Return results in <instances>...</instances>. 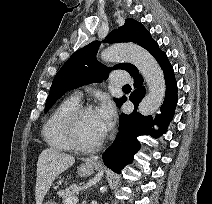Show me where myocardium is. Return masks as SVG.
I'll return each mask as SVG.
<instances>
[{
  "instance_id": "myocardium-1",
  "label": "myocardium",
  "mask_w": 212,
  "mask_h": 204,
  "mask_svg": "<svg viewBox=\"0 0 212 204\" xmlns=\"http://www.w3.org/2000/svg\"><path fill=\"white\" fill-rule=\"evenodd\" d=\"M95 108L88 105H79L78 107L71 110L64 118L62 122L63 134L73 150L79 152H92L97 150L104 142L105 135L97 142L91 145L82 144L77 136V122L85 114L95 112Z\"/></svg>"
}]
</instances>
